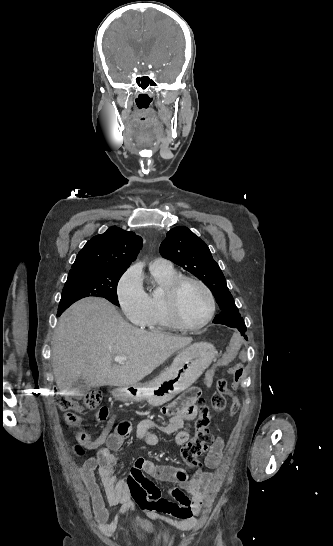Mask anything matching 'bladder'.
<instances>
[{
  "label": "bladder",
  "mask_w": 333,
  "mask_h": 546,
  "mask_svg": "<svg viewBox=\"0 0 333 546\" xmlns=\"http://www.w3.org/2000/svg\"><path fill=\"white\" fill-rule=\"evenodd\" d=\"M135 530L137 532H141V533H145L149 535L156 534L155 524L148 519H140L139 521H137L135 525Z\"/></svg>",
  "instance_id": "obj_1"
}]
</instances>
